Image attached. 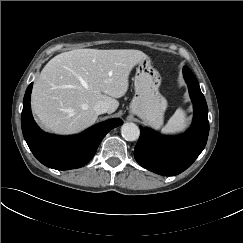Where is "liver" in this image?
Here are the masks:
<instances>
[{
	"mask_svg": "<svg viewBox=\"0 0 243 243\" xmlns=\"http://www.w3.org/2000/svg\"><path fill=\"white\" fill-rule=\"evenodd\" d=\"M147 58L133 49H75L52 58L32 90L33 113L41 125L57 134L78 133L95 123L94 105L104 101L108 113L129 87L133 67Z\"/></svg>",
	"mask_w": 243,
	"mask_h": 243,
	"instance_id": "6515ba94",
	"label": "liver"
}]
</instances>
